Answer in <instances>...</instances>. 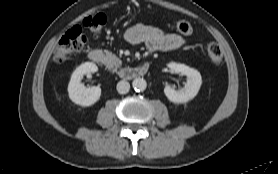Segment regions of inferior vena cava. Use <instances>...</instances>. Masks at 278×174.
Segmentation results:
<instances>
[{
	"mask_svg": "<svg viewBox=\"0 0 278 174\" xmlns=\"http://www.w3.org/2000/svg\"><path fill=\"white\" fill-rule=\"evenodd\" d=\"M129 89H130V84L127 81L122 80L117 83L118 93L126 94L128 93Z\"/></svg>",
	"mask_w": 278,
	"mask_h": 174,
	"instance_id": "inferior-vena-cava-1",
	"label": "inferior vena cava"
}]
</instances>
